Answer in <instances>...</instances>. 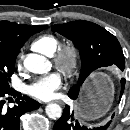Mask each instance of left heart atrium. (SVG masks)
I'll return each mask as SVG.
<instances>
[{
    "mask_svg": "<svg viewBox=\"0 0 130 130\" xmlns=\"http://www.w3.org/2000/svg\"><path fill=\"white\" fill-rule=\"evenodd\" d=\"M61 86V74L58 72H51L32 83L28 88V92L37 99L49 100L55 97L57 90H59Z\"/></svg>",
    "mask_w": 130,
    "mask_h": 130,
    "instance_id": "1",
    "label": "left heart atrium"
}]
</instances>
